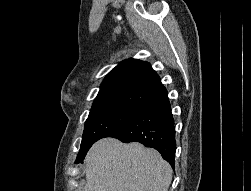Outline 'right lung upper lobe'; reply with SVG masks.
<instances>
[{
    "label": "right lung upper lobe",
    "instance_id": "1",
    "mask_svg": "<svg viewBox=\"0 0 251 191\" xmlns=\"http://www.w3.org/2000/svg\"><path fill=\"white\" fill-rule=\"evenodd\" d=\"M166 93L149 63L128 59L105 77L92 108L119 104L144 109Z\"/></svg>",
    "mask_w": 251,
    "mask_h": 191
}]
</instances>
